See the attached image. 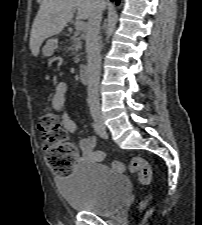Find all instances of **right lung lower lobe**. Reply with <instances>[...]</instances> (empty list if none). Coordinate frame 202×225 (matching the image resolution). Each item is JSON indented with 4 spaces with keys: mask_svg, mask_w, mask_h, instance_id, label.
<instances>
[{
    "mask_svg": "<svg viewBox=\"0 0 202 225\" xmlns=\"http://www.w3.org/2000/svg\"><path fill=\"white\" fill-rule=\"evenodd\" d=\"M111 1H116V4H119L120 0H111Z\"/></svg>",
    "mask_w": 202,
    "mask_h": 225,
    "instance_id": "obj_1",
    "label": "right lung lower lobe"
}]
</instances>
